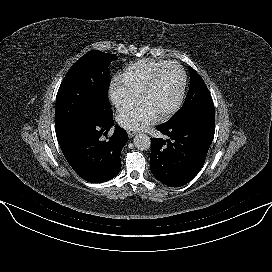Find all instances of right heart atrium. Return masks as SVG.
<instances>
[{
	"instance_id": "right-heart-atrium-1",
	"label": "right heart atrium",
	"mask_w": 272,
	"mask_h": 272,
	"mask_svg": "<svg viewBox=\"0 0 272 272\" xmlns=\"http://www.w3.org/2000/svg\"><path fill=\"white\" fill-rule=\"evenodd\" d=\"M109 97L118 111H124L134 106L139 95L128 89L121 81L114 80L109 87Z\"/></svg>"
}]
</instances>
